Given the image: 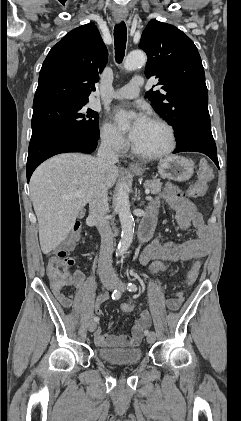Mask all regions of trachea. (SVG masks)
<instances>
[{
  "label": "trachea",
  "mask_w": 241,
  "mask_h": 421,
  "mask_svg": "<svg viewBox=\"0 0 241 421\" xmlns=\"http://www.w3.org/2000/svg\"><path fill=\"white\" fill-rule=\"evenodd\" d=\"M127 29L124 22L116 24L114 27L115 59L121 63L124 58L126 48Z\"/></svg>",
  "instance_id": "3493384b"
}]
</instances>
